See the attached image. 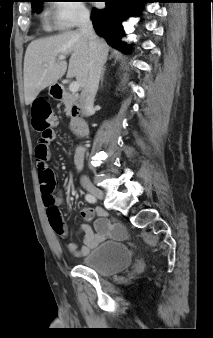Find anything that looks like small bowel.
<instances>
[{"mask_svg":"<svg viewBox=\"0 0 213 338\" xmlns=\"http://www.w3.org/2000/svg\"><path fill=\"white\" fill-rule=\"evenodd\" d=\"M55 138V134L52 133L48 137L43 136L39 139L38 144L35 148V159L37 161V164L48 163L51 157L50 146ZM84 153L85 149L83 147H79L75 153L74 162L77 169H81L83 166ZM62 203L63 198L61 195H58L55 198V208L59 210V206ZM49 213L50 209H47L48 218ZM98 214L102 219L95 224V230H93V228L88 224H82L80 226V231L83 233L84 236V246H80V244L76 241L70 242L68 244V252L71 255L79 256L87 254L91 248L97 246L109 236L126 237V231L123 228L114 226L103 219V211H98ZM93 215L94 210L92 208L85 207L81 210V216L87 220H90ZM54 229L60 234L66 233V225L64 223Z\"/></svg>","mask_w":213,"mask_h":338,"instance_id":"1","label":"small bowel"}]
</instances>
